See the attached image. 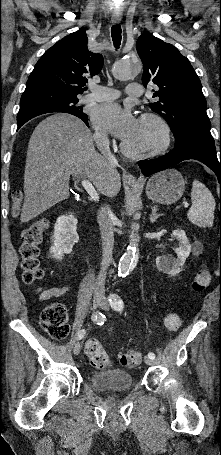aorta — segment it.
Here are the masks:
<instances>
[{"label":"aorta","instance_id":"obj_1","mask_svg":"<svg viewBox=\"0 0 221 455\" xmlns=\"http://www.w3.org/2000/svg\"><path fill=\"white\" fill-rule=\"evenodd\" d=\"M141 71L142 64L139 60L127 58L114 65L113 76L120 81H125L138 75ZM139 241L138 226L132 224L129 231V245L119 261L118 274L120 276L128 274L136 266L139 255Z\"/></svg>","mask_w":221,"mask_h":455}]
</instances>
